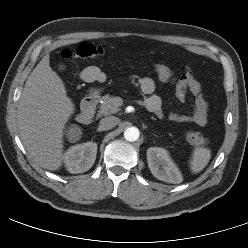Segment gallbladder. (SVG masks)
Here are the masks:
<instances>
[{"label":"gallbladder","mask_w":248,"mask_h":248,"mask_svg":"<svg viewBox=\"0 0 248 248\" xmlns=\"http://www.w3.org/2000/svg\"><path fill=\"white\" fill-rule=\"evenodd\" d=\"M59 69H60V70H64V69H65V66L61 64V65L59 66Z\"/></svg>","instance_id":"gallbladder-1"}]
</instances>
